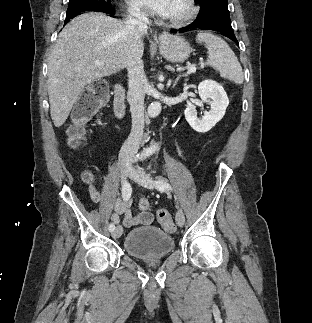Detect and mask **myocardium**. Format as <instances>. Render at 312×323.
<instances>
[{
	"label": "myocardium",
	"instance_id": "f54148a6",
	"mask_svg": "<svg viewBox=\"0 0 312 323\" xmlns=\"http://www.w3.org/2000/svg\"><path fill=\"white\" fill-rule=\"evenodd\" d=\"M195 0H175L176 4L180 6L177 10L176 5H173L174 15L173 23L175 25H189L190 21H197L198 19V3Z\"/></svg>",
	"mask_w": 312,
	"mask_h": 323
}]
</instances>
